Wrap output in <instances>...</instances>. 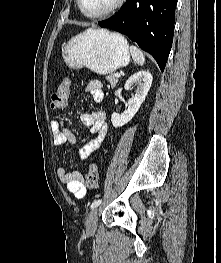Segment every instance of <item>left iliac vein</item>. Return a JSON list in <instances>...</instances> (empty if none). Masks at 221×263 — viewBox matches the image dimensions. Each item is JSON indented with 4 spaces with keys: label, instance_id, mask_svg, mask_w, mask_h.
<instances>
[{
    "label": "left iliac vein",
    "instance_id": "obj_1",
    "mask_svg": "<svg viewBox=\"0 0 221 263\" xmlns=\"http://www.w3.org/2000/svg\"><path fill=\"white\" fill-rule=\"evenodd\" d=\"M97 219H98V208H93L87 216L86 229L89 233H94L97 229Z\"/></svg>",
    "mask_w": 221,
    "mask_h": 263
}]
</instances>
